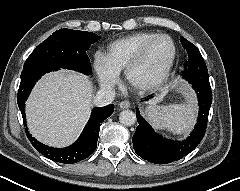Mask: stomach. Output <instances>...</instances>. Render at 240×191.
Instances as JSON below:
<instances>
[{"label": "stomach", "instance_id": "1", "mask_svg": "<svg viewBox=\"0 0 240 191\" xmlns=\"http://www.w3.org/2000/svg\"><path fill=\"white\" fill-rule=\"evenodd\" d=\"M172 87L175 88L178 92L183 94V96L186 98L187 103L183 105H177V106H169L168 108L174 110L176 113H178L180 116L184 117L188 120H193V102H194V96L191 90H189L185 84L180 83L178 80H174ZM163 107H159L155 104L150 105L147 109V112L153 111L154 109H161Z\"/></svg>", "mask_w": 240, "mask_h": 191}]
</instances>
